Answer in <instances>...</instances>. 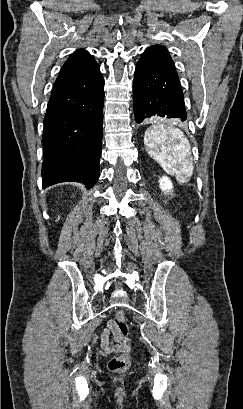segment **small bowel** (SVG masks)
<instances>
[{"mask_svg": "<svg viewBox=\"0 0 243 409\" xmlns=\"http://www.w3.org/2000/svg\"><path fill=\"white\" fill-rule=\"evenodd\" d=\"M115 341H120L114 335V322L109 320L107 322L106 328L101 334V348L105 354H113L121 351H126L127 347L123 343H116Z\"/></svg>", "mask_w": 243, "mask_h": 409, "instance_id": "c3829d8e", "label": "small bowel"}]
</instances>
